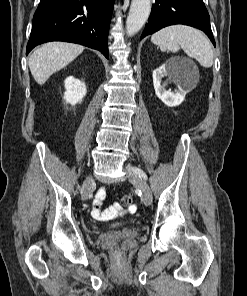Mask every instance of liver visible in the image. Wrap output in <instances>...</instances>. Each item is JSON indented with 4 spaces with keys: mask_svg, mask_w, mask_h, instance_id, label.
<instances>
[{
    "mask_svg": "<svg viewBox=\"0 0 247 296\" xmlns=\"http://www.w3.org/2000/svg\"><path fill=\"white\" fill-rule=\"evenodd\" d=\"M84 50L82 45L49 42L37 48L29 58V68L35 81L42 85L49 77L68 65Z\"/></svg>",
    "mask_w": 247,
    "mask_h": 296,
    "instance_id": "liver-1",
    "label": "liver"
}]
</instances>
